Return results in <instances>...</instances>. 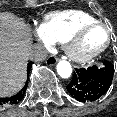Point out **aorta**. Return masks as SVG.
Wrapping results in <instances>:
<instances>
[{
	"label": "aorta",
	"mask_w": 117,
	"mask_h": 117,
	"mask_svg": "<svg viewBox=\"0 0 117 117\" xmlns=\"http://www.w3.org/2000/svg\"><path fill=\"white\" fill-rule=\"evenodd\" d=\"M57 73L61 78H69L72 74L71 64L66 60H61L57 64Z\"/></svg>",
	"instance_id": "aorta-1"
}]
</instances>
